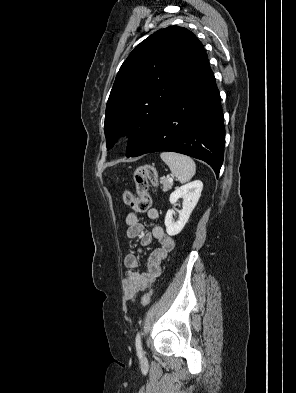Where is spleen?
Returning <instances> with one entry per match:
<instances>
[{
	"label": "spleen",
	"instance_id": "1",
	"mask_svg": "<svg viewBox=\"0 0 296 393\" xmlns=\"http://www.w3.org/2000/svg\"><path fill=\"white\" fill-rule=\"evenodd\" d=\"M160 157L180 183H186L195 175L196 165L190 157L174 152H163Z\"/></svg>",
	"mask_w": 296,
	"mask_h": 393
}]
</instances>
